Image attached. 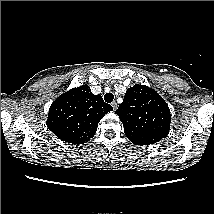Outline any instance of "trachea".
I'll return each instance as SVG.
<instances>
[{
  "label": "trachea",
  "mask_w": 214,
  "mask_h": 214,
  "mask_svg": "<svg viewBox=\"0 0 214 214\" xmlns=\"http://www.w3.org/2000/svg\"><path fill=\"white\" fill-rule=\"evenodd\" d=\"M114 99V95L112 93H106L104 95V100L107 102V103H111Z\"/></svg>",
  "instance_id": "1"
}]
</instances>
